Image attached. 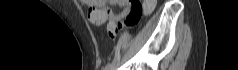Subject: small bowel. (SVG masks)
Instances as JSON below:
<instances>
[{
    "mask_svg": "<svg viewBox=\"0 0 238 70\" xmlns=\"http://www.w3.org/2000/svg\"><path fill=\"white\" fill-rule=\"evenodd\" d=\"M83 3L89 7L88 19L94 25H102L108 19H119L128 14V1L126 0H84ZM108 4L125 7L121 13H116L107 7Z\"/></svg>",
    "mask_w": 238,
    "mask_h": 70,
    "instance_id": "obj_1",
    "label": "small bowel"
}]
</instances>
